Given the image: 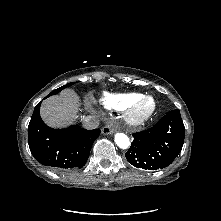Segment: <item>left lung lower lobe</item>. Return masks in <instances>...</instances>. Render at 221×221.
<instances>
[{"label": "left lung lower lobe", "mask_w": 221, "mask_h": 221, "mask_svg": "<svg viewBox=\"0 0 221 221\" xmlns=\"http://www.w3.org/2000/svg\"><path fill=\"white\" fill-rule=\"evenodd\" d=\"M185 127L178 110L162 117L153 127L134 133V140L126 153L135 167L156 170L170 165L184 143Z\"/></svg>", "instance_id": "obj_1"}]
</instances>
